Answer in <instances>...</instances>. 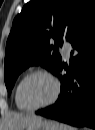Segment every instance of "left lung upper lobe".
Returning <instances> with one entry per match:
<instances>
[{
	"label": "left lung upper lobe",
	"mask_w": 95,
	"mask_h": 130,
	"mask_svg": "<svg viewBox=\"0 0 95 130\" xmlns=\"http://www.w3.org/2000/svg\"><path fill=\"white\" fill-rule=\"evenodd\" d=\"M95 13V0H31L13 21L7 40L4 81L8 92L18 75L31 65L53 73L62 58V36L69 39L79 25ZM55 40L56 46L51 41Z\"/></svg>",
	"instance_id": "1"
}]
</instances>
